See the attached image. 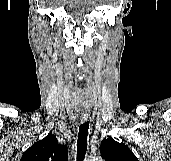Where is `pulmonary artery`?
I'll list each match as a JSON object with an SVG mask.
<instances>
[{"label":"pulmonary artery","instance_id":"1","mask_svg":"<svg viewBox=\"0 0 171 161\" xmlns=\"http://www.w3.org/2000/svg\"><path fill=\"white\" fill-rule=\"evenodd\" d=\"M86 161H91V159H88V160H86Z\"/></svg>","mask_w":171,"mask_h":161}]
</instances>
